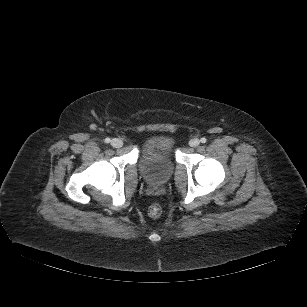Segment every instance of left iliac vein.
<instances>
[{
  "instance_id": "1",
  "label": "left iliac vein",
  "mask_w": 307,
  "mask_h": 307,
  "mask_svg": "<svg viewBox=\"0 0 307 307\" xmlns=\"http://www.w3.org/2000/svg\"><path fill=\"white\" fill-rule=\"evenodd\" d=\"M199 144H200V141H199L198 139H196V138L191 139V140L189 141V145H190L191 147H197Z\"/></svg>"
}]
</instances>
